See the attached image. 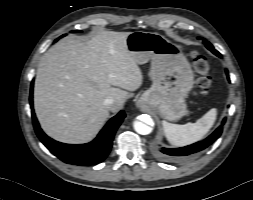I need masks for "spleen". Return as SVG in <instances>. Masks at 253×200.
<instances>
[{"label": "spleen", "instance_id": "spleen-1", "mask_svg": "<svg viewBox=\"0 0 253 200\" xmlns=\"http://www.w3.org/2000/svg\"><path fill=\"white\" fill-rule=\"evenodd\" d=\"M217 117V110L210 109L195 123L184 125L162 121L165 136L173 146H186L201 140L212 128Z\"/></svg>", "mask_w": 253, "mask_h": 200}]
</instances>
